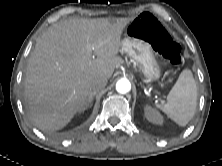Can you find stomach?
I'll list each match as a JSON object with an SVG mask.
<instances>
[{
    "label": "stomach",
    "mask_w": 222,
    "mask_h": 166,
    "mask_svg": "<svg viewBox=\"0 0 222 166\" xmlns=\"http://www.w3.org/2000/svg\"><path fill=\"white\" fill-rule=\"evenodd\" d=\"M121 51L125 52L143 73L146 79L155 81L161 75V69L157 63L153 49L145 40L127 35L122 40Z\"/></svg>",
    "instance_id": "0dacf381"
}]
</instances>
